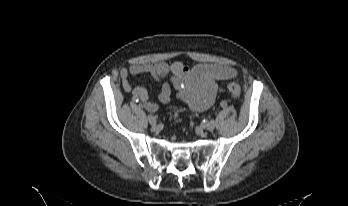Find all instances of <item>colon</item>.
I'll return each instance as SVG.
<instances>
[{
  "label": "colon",
  "instance_id": "colon-1",
  "mask_svg": "<svg viewBox=\"0 0 348 206\" xmlns=\"http://www.w3.org/2000/svg\"><path fill=\"white\" fill-rule=\"evenodd\" d=\"M226 87L232 98L236 99L240 96L241 86L237 82H234V81L228 82Z\"/></svg>",
  "mask_w": 348,
  "mask_h": 206
}]
</instances>
